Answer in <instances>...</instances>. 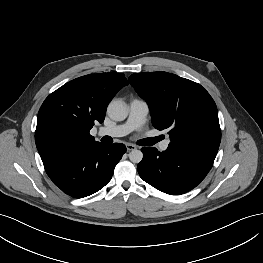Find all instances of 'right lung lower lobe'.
<instances>
[{
  "label": "right lung lower lobe",
  "instance_id": "right-lung-lower-lobe-1",
  "mask_svg": "<svg viewBox=\"0 0 263 263\" xmlns=\"http://www.w3.org/2000/svg\"><path fill=\"white\" fill-rule=\"evenodd\" d=\"M125 152V145L120 143L85 144L70 150L45 170L64 193L83 198L99 191L111 180Z\"/></svg>",
  "mask_w": 263,
  "mask_h": 263
}]
</instances>
